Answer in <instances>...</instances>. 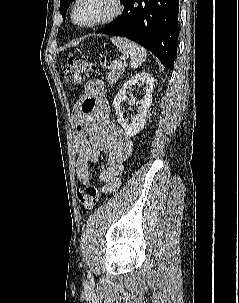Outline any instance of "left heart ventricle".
I'll return each mask as SVG.
<instances>
[{"label":"left heart ventricle","mask_w":239,"mask_h":303,"mask_svg":"<svg viewBox=\"0 0 239 303\" xmlns=\"http://www.w3.org/2000/svg\"><path fill=\"white\" fill-rule=\"evenodd\" d=\"M112 9L111 0H81L76 9V20L89 23L109 14Z\"/></svg>","instance_id":"1"}]
</instances>
